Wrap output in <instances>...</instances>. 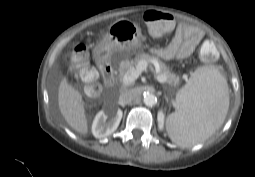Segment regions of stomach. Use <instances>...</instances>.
Instances as JSON below:
<instances>
[{
    "label": "stomach",
    "mask_w": 255,
    "mask_h": 177,
    "mask_svg": "<svg viewBox=\"0 0 255 177\" xmlns=\"http://www.w3.org/2000/svg\"><path fill=\"white\" fill-rule=\"evenodd\" d=\"M144 41L141 28L135 22L119 19L109 26L96 51L99 58L104 61L121 59L141 53Z\"/></svg>",
    "instance_id": "0dacf381"
}]
</instances>
